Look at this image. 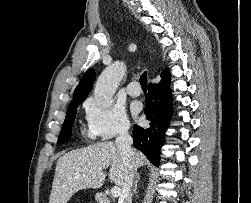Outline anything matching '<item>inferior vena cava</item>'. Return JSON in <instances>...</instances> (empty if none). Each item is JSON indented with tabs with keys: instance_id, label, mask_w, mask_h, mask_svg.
<instances>
[{
	"instance_id": "inferior-vena-cava-1",
	"label": "inferior vena cava",
	"mask_w": 251,
	"mask_h": 203,
	"mask_svg": "<svg viewBox=\"0 0 251 203\" xmlns=\"http://www.w3.org/2000/svg\"><path fill=\"white\" fill-rule=\"evenodd\" d=\"M130 124H124L116 138V145L121 151L122 158L126 167V175L120 193L119 203H132V184L137 171V167L134 163V151L131 148L133 143L132 137L129 135L128 130Z\"/></svg>"
}]
</instances>
